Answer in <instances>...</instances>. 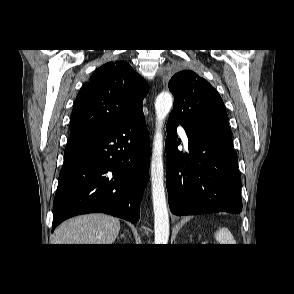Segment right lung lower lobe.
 Returning <instances> with one entry per match:
<instances>
[{
	"instance_id": "1",
	"label": "right lung lower lobe",
	"mask_w": 294,
	"mask_h": 294,
	"mask_svg": "<svg viewBox=\"0 0 294 294\" xmlns=\"http://www.w3.org/2000/svg\"><path fill=\"white\" fill-rule=\"evenodd\" d=\"M149 154L142 110L108 129L70 138L54 198L52 231L70 217L92 212L137 222Z\"/></svg>"
}]
</instances>
